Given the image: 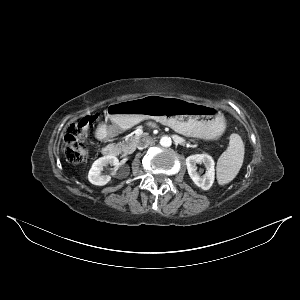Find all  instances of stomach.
I'll return each mask as SVG.
<instances>
[{
  "label": "stomach",
  "instance_id": "1",
  "mask_svg": "<svg viewBox=\"0 0 300 300\" xmlns=\"http://www.w3.org/2000/svg\"><path fill=\"white\" fill-rule=\"evenodd\" d=\"M106 113L119 130L154 119L185 135L215 140L226 129L224 116L217 108L171 96L148 95L112 103Z\"/></svg>",
  "mask_w": 300,
  "mask_h": 300
}]
</instances>
